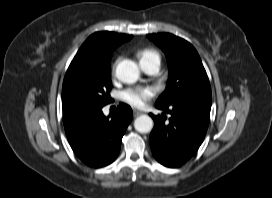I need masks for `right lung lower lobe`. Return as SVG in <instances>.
Wrapping results in <instances>:
<instances>
[{"label":"right lung lower lobe","instance_id":"obj_1","mask_svg":"<svg viewBox=\"0 0 272 198\" xmlns=\"http://www.w3.org/2000/svg\"><path fill=\"white\" fill-rule=\"evenodd\" d=\"M102 108H80L63 116L71 148L91 167L106 166L117 158L122 137L133 116L130 106L124 103L107 117Z\"/></svg>","mask_w":272,"mask_h":198}]
</instances>
